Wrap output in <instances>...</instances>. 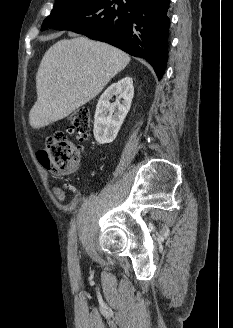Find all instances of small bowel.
I'll return each mask as SVG.
<instances>
[{"label":"small bowel","instance_id":"1","mask_svg":"<svg viewBox=\"0 0 233 328\" xmlns=\"http://www.w3.org/2000/svg\"><path fill=\"white\" fill-rule=\"evenodd\" d=\"M54 194L59 201H64L65 193L61 189H54Z\"/></svg>","mask_w":233,"mask_h":328}]
</instances>
